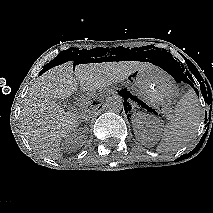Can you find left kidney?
Returning a JSON list of instances; mask_svg holds the SVG:
<instances>
[{"label": "left kidney", "instance_id": "5707ae66", "mask_svg": "<svg viewBox=\"0 0 213 213\" xmlns=\"http://www.w3.org/2000/svg\"><path fill=\"white\" fill-rule=\"evenodd\" d=\"M162 123L158 118L150 114L135 113L132 125L135 134L142 142H150L161 131Z\"/></svg>", "mask_w": 213, "mask_h": 213}]
</instances>
